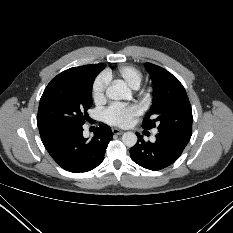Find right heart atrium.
I'll return each instance as SVG.
<instances>
[{
	"instance_id": "1",
	"label": "right heart atrium",
	"mask_w": 233,
	"mask_h": 233,
	"mask_svg": "<svg viewBox=\"0 0 233 233\" xmlns=\"http://www.w3.org/2000/svg\"><path fill=\"white\" fill-rule=\"evenodd\" d=\"M109 78L105 73L98 75L91 85V96L93 101L100 105L106 100V88Z\"/></svg>"
}]
</instances>
